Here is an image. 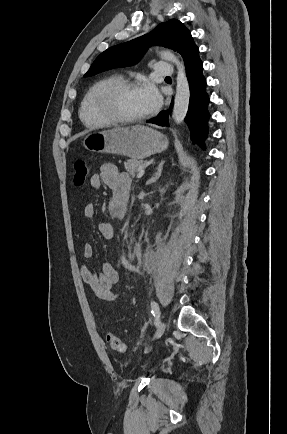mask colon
Returning <instances> with one entry per match:
<instances>
[{"mask_svg": "<svg viewBox=\"0 0 287 434\" xmlns=\"http://www.w3.org/2000/svg\"><path fill=\"white\" fill-rule=\"evenodd\" d=\"M89 175V169L87 164L85 163V161L83 160H77L74 163V176H73V181L74 184L77 186H81L83 185ZM106 340L107 343L109 344V346L117 351V352H123L126 349V345L125 343L119 338L117 337L115 334L113 333H107L106 334Z\"/></svg>", "mask_w": 287, "mask_h": 434, "instance_id": "colon-1", "label": "colon"}]
</instances>
